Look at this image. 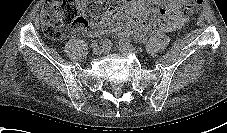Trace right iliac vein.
<instances>
[{
	"label": "right iliac vein",
	"instance_id": "right-iliac-vein-1",
	"mask_svg": "<svg viewBox=\"0 0 227 133\" xmlns=\"http://www.w3.org/2000/svg\"><path fill=\"white\" fill-rule=\"evenodd\" d=\"M104 47H102V46H95L94 48H93V53L95 54V55H99V54H101L103 51H104Z\"/></svg>",
	"mask_w": 227,
	"mask_h": 133
}]
</instances>
